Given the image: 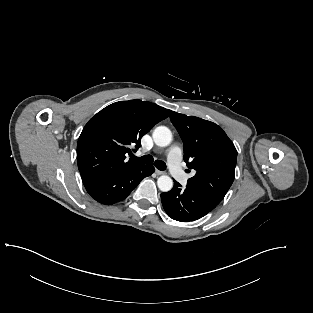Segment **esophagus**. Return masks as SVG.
<instances>
[{
	"mask_svg": "<svg viewBox=\"0 0 313 313\" xmlns=\"http://www.w3.org/2000/svg\"><path fill=\"white\" fill-rule=\"evenodd\" d=\"M155 173L157 174V175H164L165 174V172L164 171H160V170H155Z\"/></svg>",
	"mask_w": 313,
	"mask_h": 313,
	"instance_id": "34e87169",
	"label": "esophagus"
}]
</instances>
